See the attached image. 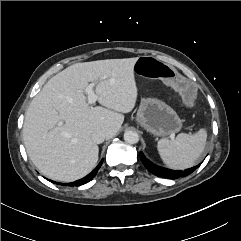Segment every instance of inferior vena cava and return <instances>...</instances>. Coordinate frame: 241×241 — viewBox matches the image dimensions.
<instances>
[{"mask_svg": "<svg viewBox=\"0 0 241 241\" xmlns=\"http://www.w3.org/2000/svg\"><path fill=\"white\" fill-rule=\"evenodd\" d=\"M91 138L94 143L100 144L105 140L106 134L102 130H96L92 133Z\"/></svg>", "mask_w": 241, "mask_h": 241, "instance_id": "obj_1", "label": "inferior vena cava"}]
</instances>
